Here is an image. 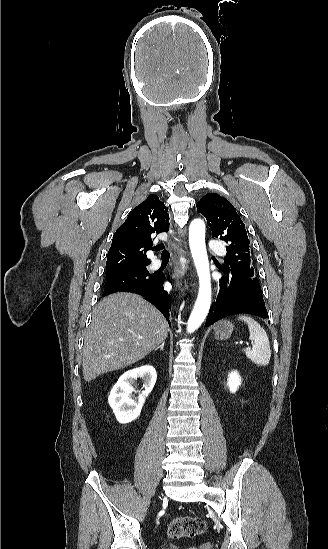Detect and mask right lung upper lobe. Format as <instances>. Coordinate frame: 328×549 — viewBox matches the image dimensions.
<instances>
[{
	"label": "right lung upper lobe",
	"instance_id": "cb5924a9",
	"mask_svg": "<svg viewBox=\"0 0 328 549\" xmlns=\"http://www.w3.org/2000/svg\"><path fill=\"white\" fill-rule=\"evenodd\" d=\"M169 214L157 195H149L117 229L108 252L106 273L150 264L146 252L157 234L169 230Z\"/></svg>",
	"mask_w": 328,
	"mask_h": 549
}]
</instances>
